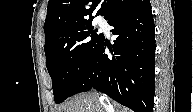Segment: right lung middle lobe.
<instances>
[{
    "label": "right lung middle lobe",
    "instance_id": "obj_1",
    "mask_svg": "<svg viewBox=\"0 0 193 112\" xmlns=\"http://www.w3.org/2000/svg\"><path fill=\"white\" fill-rule=\"evenodd\" d=\"M97 32L92 23L76 25L58 32L45 42L47 70L52 79L56 103L70 97L75 84L99 49L104 36Z\"/></svg>",
    "mask_w": 193,
    "mask_h": 112
}]
</instances>
